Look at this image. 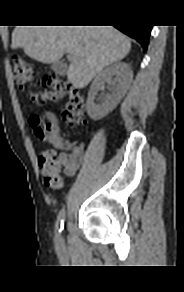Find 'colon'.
I'll return each mask as SVG.
<instances>
[{
  "instance_id": "5ec220e1",
  "label": "colon",
  "mask_w": 184,
  "mask_h": 292,
  "mask_svg": "<svg viewBox=\"0 0 184 292\" xmlns=\"http://www.w3.org/2000/svg\"><path fill=\"white\" fill-rule=\"evenodd\" d=\"M11 66L13 79L20 88H26L32 84L35 70L31 64L19 56H13ZM64 97H67V102L61 111L62 119L72 126H83L85 124L83 96L77 89L58 76L47 75L43 79L42 90L31 94V99L38 105L55 102ZM31 124L40 141L53 144L60 152L68 149L65 145L56 146L54 144L58 126L51 114H47L44 118L33 116ZM38 164L44 176L45 185L54 190L61 188L63 179L60 176L61 165L57 158V152L50 149L43 150L39 154Z\"/></svg>"
}]
</instances>
